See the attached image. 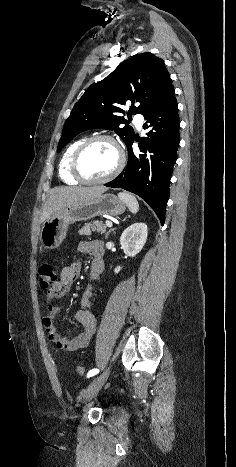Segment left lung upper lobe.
<instances>
[{
  "mask_svg": "<svg viewBox=\"0 0 236 467\" xmlns=\"http://www.w3.org/2000/svg\"><path fill=\"white\" fill-rule=\"evenodd\" d=\"M171 87L162 59L148 52L130 57L105 79L89 87L75 104L65 122L57 152L77 134L94 128L114 130L127 144L134 137V130L127 126L122 106L131 102L128 117L132 113L145 115ZM135 102L138 107H134Z\"/></svg>",
  "mask_w": 236,
  "mask_h": 467,
  "instance_id": "obj_1",
  "label": "left lung upper lobe"
}]
</instances>
